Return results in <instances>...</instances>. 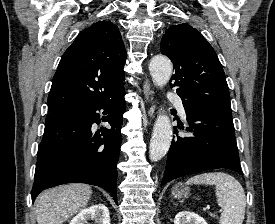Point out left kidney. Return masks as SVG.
<instances>
[{
  "label": "left kidney",
  "mask_w": 275,
  "mask_h": 224,
  "mask_svg": "<svg viewBox=\"0 0 275 224\" xmlns=\"http://www.w3.org/2000/svg\"><path fill=\"white\" fill-rule=\"evenodd\" d=\"M174 224H207V222L196 213L181 211L175 216Z\"/></svg>",
  "instance_id": "5707ae66"
}]
</instances>
